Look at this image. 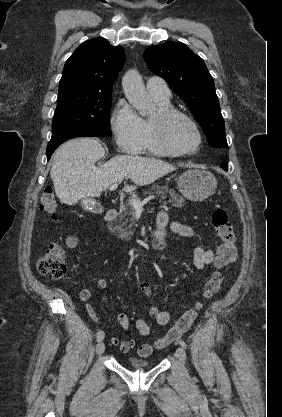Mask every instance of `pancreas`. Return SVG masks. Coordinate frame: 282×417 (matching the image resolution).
Returning <instances> with one entry per match:
<instances>
[{
    "instance_id": "pancreas-1",
    "label": "pancreas",
    "mask_w": 282,
    "mask_h": 417,
    "mask_svg": "<svg viewBox=\"0 0 282 417\" xmlns=\"http://www.w3.org/2000/svg\"><path fill=\"white\" fill-rule=\"evenodd\" d=\"M151 190H153L155 194H160L161 200L167 198V194H169L168 202H171L172 206H183V202H185V198H183V196H179V194H177L175 190H172V188H169V186H158V184H154ZM144 194H149V190H145ZM138 200H141L140 196H138ZM120 211L121 215H119V225L115 227L118 233V239H122V241H131V237L134 233L132 229L135 221V219H133V215L135 213L134 206H132L130 202L120 204Z\"/></svg>"
}]
</instances>
